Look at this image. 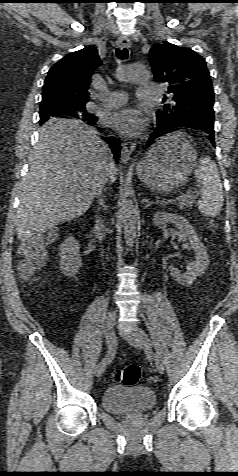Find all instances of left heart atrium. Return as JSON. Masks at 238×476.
Here are the masks:
<instances>
[{"instance_id": "obj_1", "label": "left heart atrium", "mask_w": 238, "mask_h": 476, "mask_svg": "<svg viewBox=\"0 0 238 476\" xmlns=\"http://www.w3.org/2000/svg\"><path fill=\"white\" fill-rule=\"evenodd\" d=\"M106 123L127 136H138L146 127V119L135 108H125L108 114Z\"/></svg>"}]
</instances>
